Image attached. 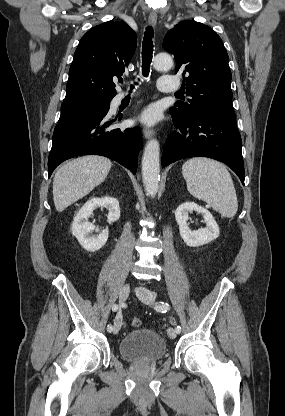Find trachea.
<instances>
[{
    "label": "trachea",
    "mask_w": 285,
    "mask_h": 416,
    "mask_svg": "<svg viewBox=\"0 0 285 416\" xmlns=\"http://www.w3.org/2000/svg\"><path fill=\"white\" fill-rule=\"evenodd\" d=\"M153 36L154 30L151 26L146 28L144 32L143 44H142V73L143 76H148L150 63L152 61L153 53ZM122 83V79L119 80ZM137 84V83H135ZM134 88V85H131L130 91Z\"/></svg>",
    "instance_id": "3493384b"
}]
</instances>
